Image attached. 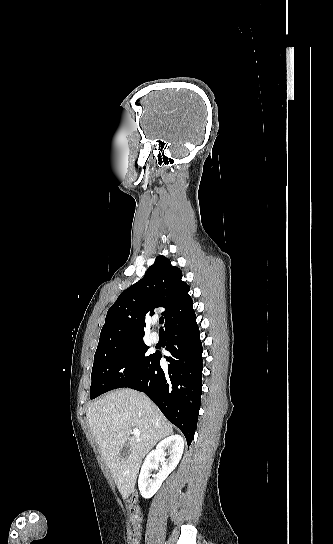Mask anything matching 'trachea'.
Here are the masks:
<instances>
[{
	"instance_id": "obj_1",
	"label": "trachea",
	"mask_w": 333,
	"mask_h": 544,
	"mask_svg": "<svg viewBox=\"0 0 333 544\" xmlns=\"http://www.w3.org/2000/svg\"><path fill=\"white\" fill-rule=\"evenodd\" d=\"M164 322V317L159 318V323L162 324Z\"/></svg>"
}]
</instances>
